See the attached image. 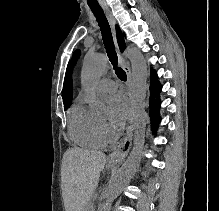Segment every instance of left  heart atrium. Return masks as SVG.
I'll list each match as a JSON object with an SVG mask.
<instances>
[{
    "label": "left heart atrium",
    "mask_w": 219,
    "mask_h": 211,
    "mask_svg": "<svg viewBox=\"0 0 219 211\" xmlns=\"http://www.w3.org/2000/svg\"><path fill=\"white\" fill-rule=\"evenodd\" d=\"M110 121L115 128H121L129 117V105L122 95H114L108 103Z\"/></svg>",
    "instance_id": "obj_1"
}]
</instances>
